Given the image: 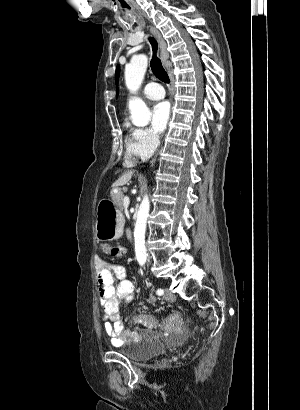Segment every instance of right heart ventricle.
<instances>
[{"mask_svg":"<svg viewBox=\"0 0 300 410\" xmlns=\"http://www.w3.org/2000/svg\"><path fill=\"white\" fill-rule=\"evenodd\" d=\"M126 163L132 164L134 163L139 157L138 155L135 154L133 147H132V140H131V136H127L126 137Z\"/></svg>","mask_w":300,"mask_h":410,"instance_id":"right-heart-ventricle-1","label":"right heart ventricle"}]
</instances>
